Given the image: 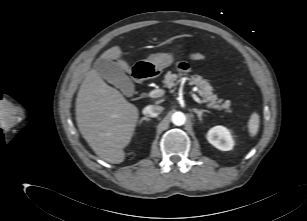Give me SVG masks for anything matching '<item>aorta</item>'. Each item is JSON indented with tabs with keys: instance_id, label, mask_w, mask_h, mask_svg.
Instances as JSON below:
<instances>
[{
	"instance_id": "obj_1",
	"label": "aorta",
	"mask_w": 307,
	"mask_h": 221,
	"mask_svg": "<svg viewBox=\"0 0 307 221\" xmlns=\"http://www.w3.org/2000/svg\"><path fill=\"white\" fill-rule=\"evenodd\" d=\"M171 121L176 126H181L186 122V116L184 113L177 111L174 112L171 116Z\"/></svg>"
}]
</instances>
